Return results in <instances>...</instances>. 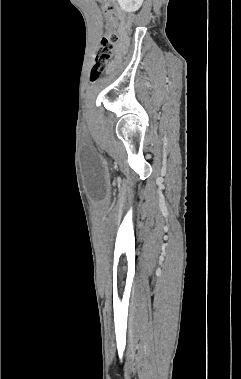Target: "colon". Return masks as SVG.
<instances>
[{"instance_id": "obj_1", "label": "colon", "mask_w": 241, "mask_h": 379, "mask_svg": "<svg viewBox=\"0 0 241 379\" xmlns=\"http://www.w3.org/2000/svg\"><path fill=\"white\" fill-rule=\"evenodd\" d=\"M105 2V12L111 21L115 22L120 18V14L114 5L112 0H104ZM127 19H125V30H134V20H136V13H127ZM123 18V17H121ZM120 40L119 33L116 31H111L100 41L95 64L92 69L91 78L93 80L97 79L109 66L111 63L114 50Z\"/></svg>"}]
</instances>
